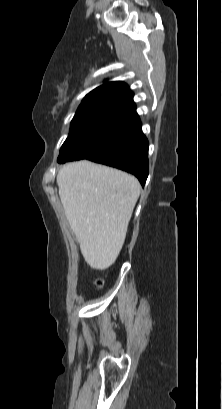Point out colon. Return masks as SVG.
<instances>
[{"instance_id": "obj_1", "label": "colon", "mask_w": 222, "mask_h": 409, "mask_svg": "<svg viewBox=\"0 0 222 409\" xmlns=\"http://www.w3.org/2000/svg\"><path fill=\"white\" fill-rule=\"evenodd\" d=\"M103 284H104V280H103V279L99 278V279H96V280H95V285H96L98 288H101V287L103 286Z\"/></svg>"}]
</instances>
